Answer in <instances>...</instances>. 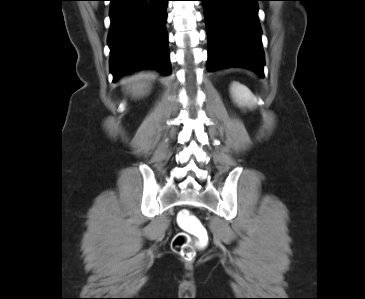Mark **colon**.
Listing matches in <instances>:
<instances>
[{
  "mask_svg": "<svg viewBox=\"0 0 365 299\" xmlns=\"http://www.w3.org/2000/svg\"><path fill=\"white\" fill-rule=\"evenodd\" d=\"M177 224L182 231L173 237L171 247L178 255L191 260L195 257L197 247L207 244V230L202 222L187 209L179 212Z\"/></svg>",
  "mask_w": 365,
  "mask_h": 299,
  "instance_id": "colon-1",
  "label": "colon"
}]
</instances>
